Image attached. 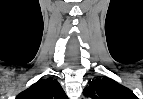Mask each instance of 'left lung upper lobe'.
Returning <instances> with one entry per match:
<instances>
[{
    "label": "left lung upper lobe",
    "instance_id": "1",
    "mask_svg": "<svg viewBox=\"0 0 143 99\" xmlns=\"http://www.w3.org/2000/svg\"><path fill=\"white\" fill-rule=\"evenodd\" d=\"M83 94L91 99H138L130 89L105 76L89 81Z\"/></svg>",
    "mask_w": 143,
    "mask_h": 99
}]
</instances>
